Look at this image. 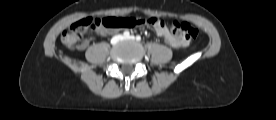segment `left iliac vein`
<instances>
[{
  "label": "left iliac vein",
  "mask_w": 276,
  "mask_h": 120,
  "mask_svg": "<svg viewBox=\"0 0 276 120\" xmlns=\"http://www.w3.org/2000/svg\"><path fill=\"white\" fill-rule=\"evenodd\" d=\"M126 39L134 40V39H135V37H134V36H129V37H128V38H126Z\"/></svg>",
  "instance_id": "1"
}]
</instances>
